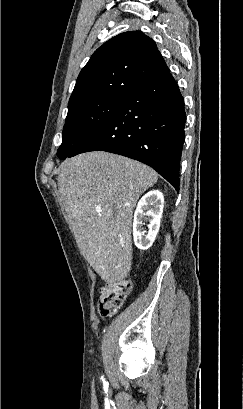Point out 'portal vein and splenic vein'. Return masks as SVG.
<instances>
[{"instance_id":"portal-vein-and-splenic-vein-1","label":"portal vein and splenic vein","mask_w":243,"mask_h":409,"mask_svg":"<svg viewBox=\"0 0 243 409\" xmlns=\"http://www.w3.org/2000/svg\"><path fill=\"white\" fill-rule=\"evenodd\" d=\"M98 212H101V209H98Z\"/></svg>"}]
</instances>
